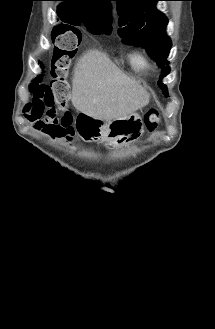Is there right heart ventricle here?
<instances>
[{"mask_svg": "<svg viewBox=\"0 0 215 329\" xmlns=\"http://www.w3.org/2000/svg\"><path fill=\"white\" fill-rule=\"evenodd\" d=\"M129 63L134 69H144L149 66L148 58L140 51H133L129 54Z\"/></svg>", "mask_w": 215, "mask_h": 329, "instance_id": "e07e8e85", "label": "right heart ventricle"}]
</instances>
